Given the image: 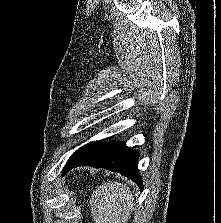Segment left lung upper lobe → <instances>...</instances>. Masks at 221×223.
I'll use <instances>...</instances> for the list:
<instances>
[{
    "instance_id": "5c2ea615",
    "label": "left lung upper lobe",
    "mask_w": 221,
    "mask_h": 223,
    "mask_svg": "<svg viewBox=\"0 0 221 223\" xmlns=\"http://www.w3.org/2000/svg\"><path fill=\"white\" fill-rule=\"evenodd\" d=\"M92 144L91 143H88L87 145H84L83 147H81L80 149H78L76 152L73 153V155L69 158V160L67 161L64 169H63V173H65L68 165L70 164V162H72L76 157H78L84 150H86L90 145Z\"/></svg>"
}]
</instances>
